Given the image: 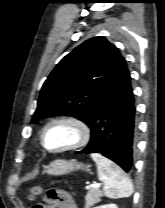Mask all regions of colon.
Masks as SVG:
<instances>
[{
  "label": "colon",
  "mask_w": 165,
  "mask_h": 208,
  "mask_svg": "<svg viewBox=\"0 0 165 208\" xmlns=\"http://www.w3.org/2000/svg\"><path fill=\"white\" fill-rule=\"evenodd\" d=\"M43 192V189L40 186H33L29 189V199L32 200L35 197L41 195ZM38 206H34L33 208H37Z\"/></svg>",
  "instance_id": "obj_1"
}]
</instances>
